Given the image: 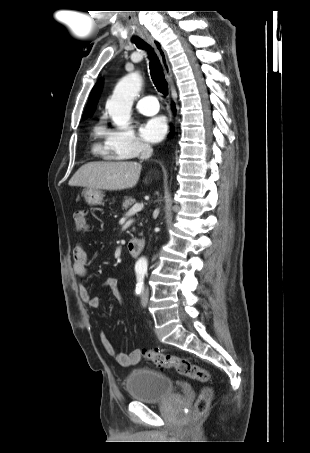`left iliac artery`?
Here are the masks:
<instances>
[{
  "instance_id": "1",
  "label": "left iliac artery",
  "mask_w": 310,
  "mask_h": 453,
  "mask_svg": "<svg viewBox=\"0 0 310 453\" xmlns=\"http://www.w3.org/2000/svg\"><path fill=\"white\" fill-rule=\"evenodd\" d=\"M143 279H144V273H138L137 284H136V293L137 294H140L143 290V287H144Z\"/></svg>"
}]
</instances>
